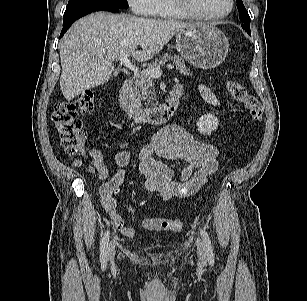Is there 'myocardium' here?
Masks as SVG:
<instances>
[{"label":"myocardium","mask_w":307,"mask_h":301,"mask_svg":"<svg viewBox=\"0 0 307 301\" xmlns=\"http://www.w3.org/2000/svg\"><path fill=\"white\" fill-rule=\"evenodd\" d=\"M168 1L170 2L171 6L183 16L202 21L221 20L230 15L235 7V0H230L229 9L226 12L218 15H208V14L199 13L198 11L193 9L190 4V0H168Z\"/></svg>","instance_id":"f54148a6"}]
</instances>
